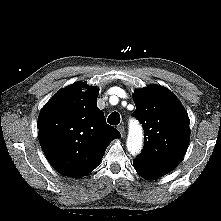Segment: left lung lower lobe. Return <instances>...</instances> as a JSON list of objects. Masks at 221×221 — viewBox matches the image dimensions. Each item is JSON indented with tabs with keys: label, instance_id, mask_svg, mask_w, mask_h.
Masks as SVG:
<instances>
[{
	"label": "left lung lower lobe",
	"instance_id": "obj_1",
	"mask_svg": "<svg viewBox=\"0 0 221 221\" xmlns=\"http://www.w3.org/2000/svg\"><path fill=\"white\" fill-rule=\"evenodd\" d=\"M133 165H134L135 170L138 172V174L145 179H155V178L165 175L161 172L145 168L135 162H133Z\"/></svg>",
	"mask_w": 221,
	"mask_h": 221
}]
</instances>
